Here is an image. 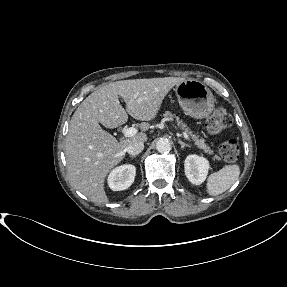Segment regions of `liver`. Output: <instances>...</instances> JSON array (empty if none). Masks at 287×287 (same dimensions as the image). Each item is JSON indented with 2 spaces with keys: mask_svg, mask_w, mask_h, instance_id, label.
Here are the masks:
<instances>
[{
  "mask_svg": "<svg viewBox=\"0 0 287 287\" xmlns=\"http://www.w3.org/2000/svg\"><path fill=\"white\" fill-rule=\"evenodd\" d=\"M185 81L179 77L116 81L91 93L73 114L65 143L67 172L71 185L96 204L109 201L104 190L108 173L124 158L127 146L135 140L145 142L149 124L141 132L117 141L103 130L125 124L128 114L141 121L153 120L168 92ZM126 103V110L119 101Z\"/></svg>",
  "mask_w": 287,
  "mask_h": 287,
  "instance_id": "liver-1",
  "label": "liver"
}]
</instances>
